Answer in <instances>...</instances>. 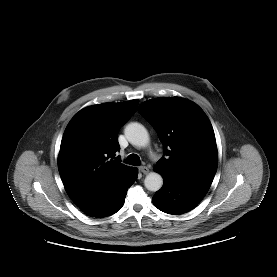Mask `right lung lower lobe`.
Returning a JSON list of instances; mask_svg holds the SVG:
<instances>
[{"mask_svg":"<svg viewBox=\"0 0 277 277\" xmlns=\"http://www.w3.org/2000/svg\"><path fill=\"white\" fill-rule=\"evenodd\" d=\"M137 179V169L126 173L109 191L94 203L81 207L89 216L102 218L116 213L124 204L128 188Z\"/></svg>","mask_w":277,"mask_h":277,"instance_id":"right-lung-lower-lobe-1","label":"right lung lower lobe"}]
</instances>
